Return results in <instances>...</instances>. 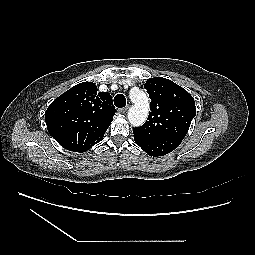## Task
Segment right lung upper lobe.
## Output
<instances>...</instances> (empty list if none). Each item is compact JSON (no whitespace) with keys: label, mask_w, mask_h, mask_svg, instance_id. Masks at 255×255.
<instances>
[{"label":"right lung upper lobe","mask_w":255,"mask_h":255,"mask_svg":"<svg viewBox=\"0 0 255 255\" xmlns=\"http://www.w3.org/2000/svg\"><path fill=\"white\" fill-rule=\"evenodd\" d=\"M114 114L111 95L98 93L92 82H82L50 104L45 120L49 134L63 148L84 152L102 140Z\"/></svg>","instance_id":"obj_1"}]
</instances>
